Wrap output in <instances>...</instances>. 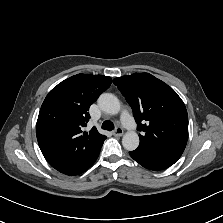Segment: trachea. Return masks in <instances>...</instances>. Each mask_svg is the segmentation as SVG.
<instances>
[{
	"label": "trachea",
	"mask_w": 223,
	"mask_h": 223,
	"mask_svg": "<svg viewBox=\"0 0 223 223\" xmlns=\"http://www.w3.org/2000/svg\"><path fill=\"white\" fill-rule=\"evenodd\" d=\"M101 128L109 131L115 129L114 124L111 121H104Z\"/></svg>",
	"instance_id": "obj_1"
}]
</instances>
